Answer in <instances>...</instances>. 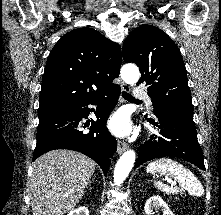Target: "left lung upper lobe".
Returning <instances> with one entry per match:
<instances>
[{"label": "left lung upper lobe", "instance_id": "1", "mask_svg": "<svg viewBox=\"0 0 221 215\" xmlns=\"http://www.w3.org/2000/svg\"><path fill=\"white\" fill-rule=\"evenodd\" d=\"M123 59L139 67L138 84L147 86L154 114L161 110L193 114L181 53L165 32L152 25L135 28L123 44Z\"/></svg>", "mask_w": 221, "mask_h": 215}]
</instances>
